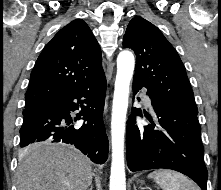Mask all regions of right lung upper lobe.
<instances>
[{
  "label": "right lung upper lobe",
  "instance_id": "right-lung-upper-lobe-1",
  "mask_svg": "<svg viewBox=\"0 0 221 190\" xmlns=\"http://www.w3.org/2000/svg\"><path fill=\"white\" fill-rule=\"evenodd\" d=\"M104 74L99 44L82 19L62 28L45 46L30 75L25 110L38 108Z\"/></svg>",
  "mask_w": 221,
  "mask_h": 190
}]
</instances>
